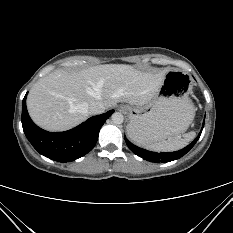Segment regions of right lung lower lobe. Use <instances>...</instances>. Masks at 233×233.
Masks as SVG:
<instances>
[{
    "label": "right lung lower lobe",
    "instance_id": "obj_1",
    "mask_svg": "<svg viewBox=\"0 0 233 233\" xmlns=\"http://www.w3.org/2000/svg\"><path fill=\"white\" fill-rule=\"evenodd\" d=\"M25 102L26 96L23 99L22 126L27 139L40 154L58 162L74 161L90 152L97 142L100 128L114 112L110 110L93 116L65 132L51 133L34 124Z\"/></svg>",
    "mask_w": 233,
    "mask_h": 233
}]
</instances>
